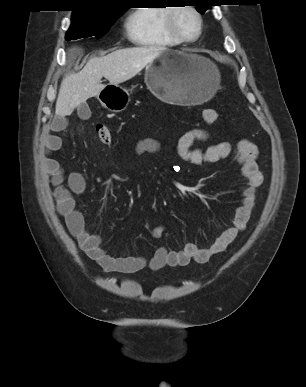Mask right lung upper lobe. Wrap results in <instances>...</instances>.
<instances>
[{
    "label": "right lung upper lobe",
    "instance_id": "right-lung-upper-lobe-1",
    "mask_svg": "<svg viewBox=\"0 0 306 387\" xmlns=\"http://www.w3.org/2000/svg\"><path fill=\"white\" fill-rule=\"evenodd\" d=\"M122 0H79V9L74 10L73 18H94L119 13L125 10Z\"/></svg>",
    "mask_w": 306,
    "mask_h": 387
}]
</instances>
